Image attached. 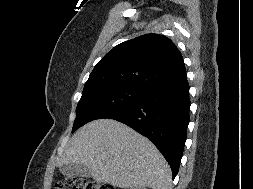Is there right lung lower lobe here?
Masks as SVG:
<instances>
[{
	"mask_svg": "<svg viewBox=\"0 0 253 189\" xmlns=\"http://www.w3.org/2000/svg\"><path fill=\"white\" fill-rule=\"evenodd\" d=\"M189 110V84L185 79L153 87L138 102L105 118L145 135L163 154L175 178L186 141Z\"/></svg>",
	"mask_w": 253,
	"mask_h": 189,
	"instance_id": "98d812e1",
	"label": "right lung lower lobe"
}]
</instances>
